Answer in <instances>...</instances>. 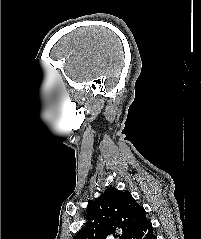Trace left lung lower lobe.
<instances>
[{
  "instance_id": "left-lung-lower-lobe-1",
  "label": "left lung lower lobe",
  "mask_w": 201,
  "mask_h": 239,
  "mask_svg": "<svg viewBox=\"0 0 201 239\" xmlns=\"http://www.w3.org/2000/svg\"><path fill=\"white\" fill-rule=\"evenodd\" d=\"M129 239H157L153 234V227L150 221L145 222L141 225Z\"/></svg>"
}]
</instances>
